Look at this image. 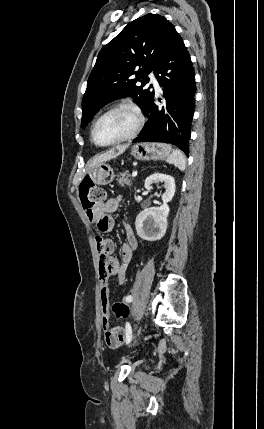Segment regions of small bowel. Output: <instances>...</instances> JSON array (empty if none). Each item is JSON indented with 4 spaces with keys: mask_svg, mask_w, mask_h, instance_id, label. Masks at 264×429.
<instances>
[{
    "mask_svg": "<svg viewBox=\"0 0 264 429\" xmlns=\"http://www.w3.org/2000/svg\"><path fill=\"white\" fill-rule=\"evenodd\" d=\"M121 197H113L99 204L93 213L86 212L87 219L90 223H95L100 231H110L115 226V219L112 213L118 210L121 205ZM126 242L121 246V259L118 260L113 256L114 243L110 239H103L97 236L95 244L99 255V278H100V295L102 308V328L104 330V340L110 349L119 348L121 341L119 332L125 337V331L122 327L110 328V303H109V281L115 276L120 285L124 284L126 271L132 259L133 252L138 247L137 236L128 224L124 226Z\"/></svg>",
    "mask_w": 264,
    "mask_h": 429,
    "instance_id": "small-bowel-1",
    "label": "small bowel"
}]
</instances>
